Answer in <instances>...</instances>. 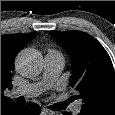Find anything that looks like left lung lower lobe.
I'll return each instance as SVG.
<instances>
[{"instance_id":"obj_1","label":"left lung lower lobe","mask_w":115,"mask_h":115,"mask_svg":"<svg viewBox=\"0 0 115 115\" xmlns=\"http://www.w3.org/2000/svg\"><path fill=\"white\" fill-rule=\"evenodd\" d=\"M63 114H64V115H71L70 112H66V111H64ZM78 115H85V114H83V113H79Z\"/></svg>"}]
</instances>
